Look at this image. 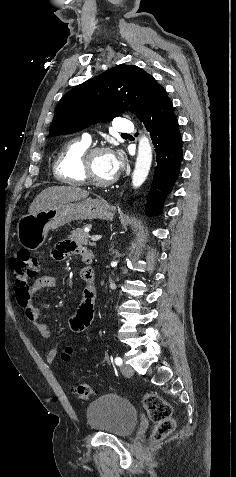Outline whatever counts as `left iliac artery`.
Masks as SVG:
<instances>
[{
    "instance_id": "left-iliac-artery-1",
    "label": "left iliac artery",
    "mask_w": 236,
    "mask_h": 477,
    "mask_svg": "<svg viewBox=\"0 0 236 477\" xmlns=\"http://www.w3.org/2000/svg\"><path fill=\"white\" fill-rule=\"evenodd\" d=\"M122 363H123V361H122V359H121L120 357H116V358H115V364H116V365H119V366H120V365H122Z\"/></svg>"
}]
</instances>
